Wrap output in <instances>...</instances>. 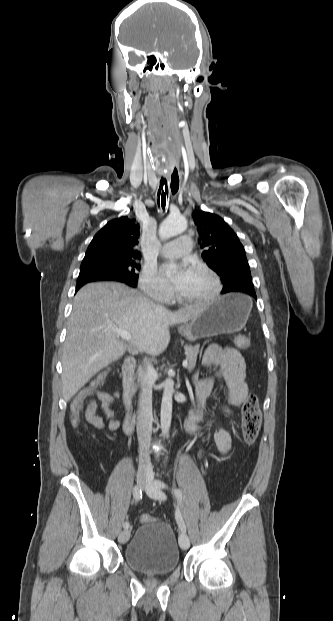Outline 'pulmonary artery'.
<instances>
[{
  "label": "pulmonary artery",
  "mask_w": 333,
  "mask_h": 621,
  "mask_svg": "<svg viewBox=\"0 0 333 621\" xmlns=\"http://www.w3.org/2000/svg\"><path fill=\"white\" fill-rule=\"evenodd\" d=\"M192 250V240L189 236L182 235L174 241L165 243L161 248V255L168 258L188 255Z\"/></svg>",
  "instance_id": "1"
}]
</instances>
